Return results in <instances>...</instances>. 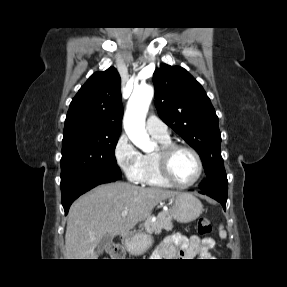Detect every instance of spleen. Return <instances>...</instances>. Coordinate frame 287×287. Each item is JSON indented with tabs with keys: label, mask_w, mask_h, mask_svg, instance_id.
I'll list each match as a JSON object with an SVG mask.
<instances>
[{
	"label": "spleen",
	"mask_w": 287,
	"mask_h": 287,
	"mask_svg": "<svg viewBox=\"0 0 287 287\" xmlns=\"http://www.w3.org/2000/svg\"><path fill=\"white\" fill-rule=\"evenodd\" d=\"M219 235H220V237L223 238V239H225L226 236H227V233H226V231L224 230V227H223L222 225L219 227Z\"/></svg>",
	"instance_id": "obj_1"
}]
</instances>
